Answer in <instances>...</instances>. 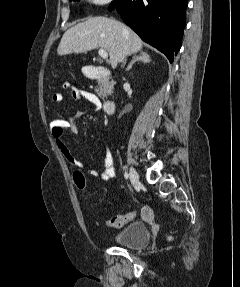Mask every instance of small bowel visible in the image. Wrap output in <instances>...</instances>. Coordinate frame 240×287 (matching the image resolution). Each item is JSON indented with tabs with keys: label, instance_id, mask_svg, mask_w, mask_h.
<instances>
[{
	"label": "small bowel",
	"instance_id": "obj_1",
	"mask_svg": "<svg viewBox=\"0 0 240 287\" xmlns=\"http://www.w3.org/2000/svg\"><path fill=\"white\" fill-rule=\"evenodd\" d=\"M63 88L70 90L71 96L76 100H83L88 103H90L94 109H99L101 106L100 100L98 97L89 91L79 89V88H73L68 83L63 84ZM52 100L55 103H60L64 100V96L62 93L56 92L52 95ZM84 115L83 111L76 112L73 116H71L67 120V130H69L72 133H76L78 131V120ZM53 138L55 140V143L57 147L59 148L62 156L65 158V160L72 165L73 167L84 170L86 169V166L84 163L79 161L68 145L66 144L63 135L62 136H55L53 135ZM87 173L90 176L93 177H99L103 180H110L115 176V166H114V158L113 154L110 149L106 150L104 161H103V167L101 170H93V169H86ZM152 210L149 206H143L141 208V216L145 220H150L152 218Z\"/></svg>",
	"mask_w": 240,
	"mask_h": 287
}]
</instances>
